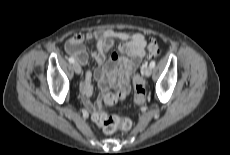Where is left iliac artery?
<instances>
[{
    "label": "left iliac artery",
    "instance_id": "obj_1",
    "mask_svg": "<svg viewBox=\"0 0 230 155\" xmlns=\"http://www.w3.org/2000/svg\"><path fill=\"white\" fill-rule=\"evenodd\" d=\"M155 65H156L155 61H151L149 66H150L151 68H154Z\"/></svg>",
    "mask_w": 230,
    "mask_h": 155
}]
</instances>
